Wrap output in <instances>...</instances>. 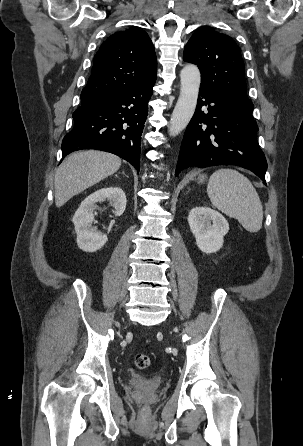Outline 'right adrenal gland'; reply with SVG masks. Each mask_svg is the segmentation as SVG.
I'll return each instance as SVG.
<instances>
[{
	"label": "right adrenal gland",
	"mask_w": 303,
	"mask_h": 446,
	"mask_svg": "<svg viewBox=\"0 0 303 446\" xmlns=\"http://www.w3.org/2000/svg\"><path fill=\"white\" fill-rule=\"evenodd\" d=\"M122 173H123V175H125L126 177H128V176H127V175L125 174V172H124V171H123Z\"/></svg>",
	"instance_id": "right-adrenal-gland-1"
}]
</instances>
